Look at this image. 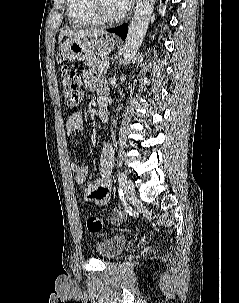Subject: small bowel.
Masks as SVG:
<instances>
[{"label":"small bowel","mask_w":239,"mask_h":303,"mask_svg":"<svg viewBox=\"0 0 239 303\" xmlns=\"http://www.w3.org/2000/svg\"><path fill=\"white\" fill-rule=\"evenodd\" d=\"M83 82L85 87L94 91L98 95V99L103 103L107 99V87L102 78L93 75L91 72L83 73ZM84 126L83 114L81 111L72 113L66 120V128L68 134L81 131ZM114 164V149L111 143L106 142L102 148L99 171L100 178L91 184H86L89 169L85 165L73 164L72 171L75 175V181L83 189V199L87 202H95L98 205H104L111 196L112 188V168ZM119 213L114 215L117 219Z\"/></svg>","instance_id":"obj_1"}]
</instances>
